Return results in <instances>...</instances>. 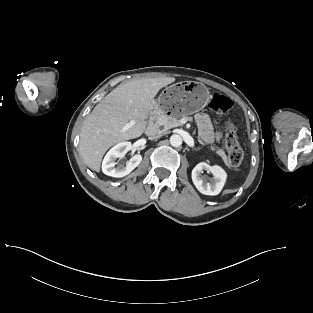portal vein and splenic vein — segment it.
Segmentation results:
<instances>
[{
	"label": "portal vein and splenic vein",
	"instance_id": "obj_1",
	"mask_svg": "<svg viewBox=\"0 0 313 313\" xmlns=\"http://www.w3.org/2000/svg\"><path fill=\"white\" fill-rule=\"evenodd\" d=\"M135 124V122H130L129 124H127L123 129H122V132L127 130L128 128H130L131 126H133Z\"/></svg>",
	"mask_w": 313,
	"mask_h": 313
}]
</instances>
